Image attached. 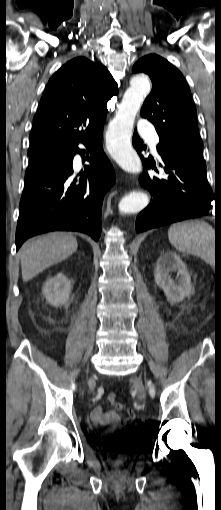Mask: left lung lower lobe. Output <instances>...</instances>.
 <instances>
[{"label":"left lung lower lobe","mask_w":221,"mask_h":510,"mask_svg":"<svg viewBox=\"0 0 221 510\" xmlns=\"http://www.w3.org/2000/svg\"><path fill=\"white\" fill-rule=\"evenodd\" d=\"M142 143L135 131L132 144L140 155L144 167L156 170L155 163H149L141 155ZM160 156V165L165 172V178L152 177L144 172L139 179L140 184L150 191L153 199L136 219L137 232L201 217L207 215L212 208L214 197L206 178V170L175 157Z\"/></svg>","instance_id":"0a47b994"}]
</instances>
